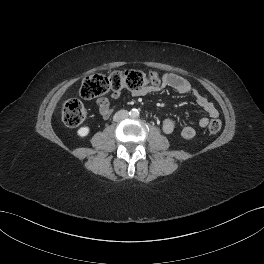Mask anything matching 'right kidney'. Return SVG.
Wrapping results in <instances>:
<instances>
[{"mask_svg": "<svg viewBox=\"0 0 264 264\" xmlns=\"http://www.w3.org/2000/svg\"><path fill=\"white\" fill-rule=\"evenodd\" d=\"M90 128L89 127H81L78 129L77 134L80 137H85L89 134Z\"/></svg>", "mask_w": 264, "mask_h": 264, "instance_id": "obj_1", "label": "right kidney"}]
</instances>
